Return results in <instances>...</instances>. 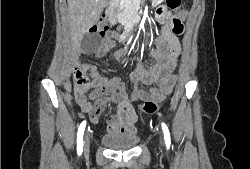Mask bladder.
Instances as JSON below:
<instances>
[{"instance_id":"1","label":"bladder","mask_w":250,"mask_h":169,"mask_svg":"<svg viewBox=\"0 0 250 169\" xmlns=\"http://www.w3.org/2000/svg\"><path fill=\"white\" fill-rule=\"evenodd\" d=\"M101 141L108 150L131 151L140 142V137L137 134L127 136L126 133H117V135L105 133L101 136Z\"/></svg>"}]
</instances>
